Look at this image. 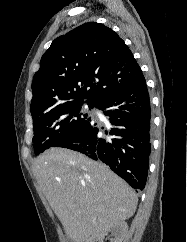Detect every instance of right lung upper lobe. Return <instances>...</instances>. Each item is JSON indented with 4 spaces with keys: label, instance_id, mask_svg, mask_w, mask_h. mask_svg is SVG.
<instances>
[{
    "label": "right lung upper lobe",
    "instance_id": "1",
    "mask_svg": "<svg viewBox=\"0 0 187 242\" xmlns=\"http://www.w3.org/2000/svg\"><path fill=\"white\" fill-rule=\"evenodd\" d=\"M145 81L124 41L110 28L85 23L56 38L32 82L30 111L36 117L58 106L105 97Z\"/></svg>",
    "mask_w": 187,
    "mask_h": 242
}]
</instances>
